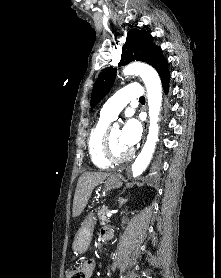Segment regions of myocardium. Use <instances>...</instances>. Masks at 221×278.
<instances>
[{"label":"myocardium","instance_id":"myocardium-1","mask_svg":"<svg viewBox=\"0 0 221 278\" xmlns=\"http://www.w3.org/2000/svg\"><path fill=\"white\" fill-rule=\"evenodd\" d=\"M111 129L112 128H107V130L105 131L102 137L101 155L104 158V160L107 161L108 163L120 164L126 162L129 159H131V157L134 154V151L131 149L123 156L120 157L114 156L111 151V141H110Z\"/></svg>","mask_w":221,"mask_h":278}]
</instances>
